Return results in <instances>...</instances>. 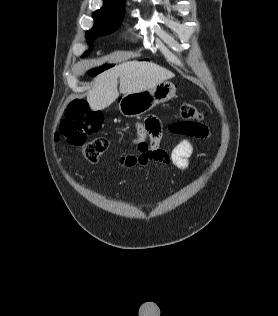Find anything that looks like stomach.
<instances>
[{
	"mask_svg": "<svg viewBox=\"0 0 278 316\" xmlns=\"http://www.w3.org/2000/svg\"><path fill=\"white\" fill-rule=\"evenodd\" d=\"M175 93V85L172 82L163 81L141 92L123 95L120 98L119 111L126 117H137L150 111L156 105L172 99Z\"/></svg>",
	"mask_w": 278,
	"mask_h": 316,
	"instance_id": "0dacf381",
	"label": "stomach"
}]
</instances>
